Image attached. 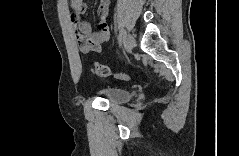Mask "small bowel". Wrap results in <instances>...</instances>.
Here are the masks:
<instances>
[{
  "mask_svg": "<svg viewBox=\"0 0 239 156\" xmlns=\"http://www.w3.org/2000/svg\"><path fill=\"white\" fill-rule=\"evenodd\" d=\"M71 14L70 22L75 29V37L79 48L84 51L101 52V45L110 40V31L108 27V16L111 3L109 0L101 1L97 13L99 16L98 30L93 31L90 23L84 21L81 15L86 9L83 0H72L70 2Z\"/></svg>",
  "mask_w": 239,
  "mask_h": 156,
  "instance_id": "small-bowel-1",
  "label": "small bowel"
}]
</instances>
